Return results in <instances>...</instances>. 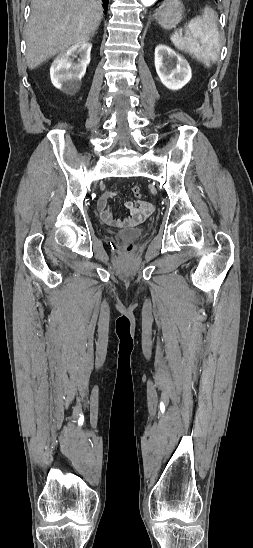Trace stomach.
I'll return each mask as SVG.
<instances>
[{
	"label": "stomach",
	"instance_id": "1",
	"mask_svg": "<svg viewBox=\"0 0 253 548\" xmlns=\"http://www.w3.org/2000/svg\"><path fill=\"white\" fill-rule=\"evenodd\" d=\"M184 14V5L180 0H165L155 14L158 24L164 29L174 28Z\"/></svg>",
	"mask_w": 253,
	"mask_h": 548
}]
</instances>
